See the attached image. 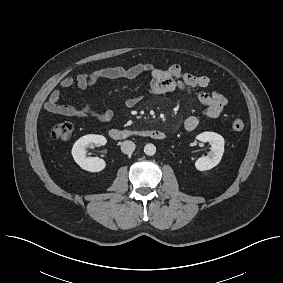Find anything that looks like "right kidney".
<instances>
[{"instance_id":"obj_1","label":"right kidney","mask_w":283,"mask_h":283,"mask_svg":"<svg viewBox=\"0 0 283 283\" xmlns=\"http://www.w3.org/2000/svg\"><path fill=\"white\" fill-rule=\"evenodd\" d=\"M106 142V138L102 135L89 134L79 138L72 148V155L75 162L86 171H102L106 166L105 161L99 157H87L86 147L91 143L105 145Z\"/></svg>"}]
</instances>
